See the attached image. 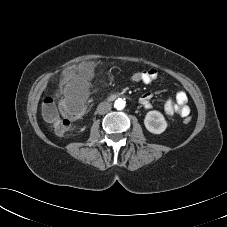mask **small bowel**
Returning a JSON list of instances; mask_svg holds the SVG:
<instances>
[{
    "mask_svg": "<svg viewBox=\"0 0 227 227\" xmlns=\"http://www.w3.org/2000/svg\"><path fill=\"white\" fill-rule=\"evenodd\" d=\"M144 72L143 83L151 84L154 82L159 73L156 69L142 70ZM152 93L147 92L140 97V103L145 109H151ZM164 112L167 116H173L175 114L182 115L184 112L190 113L188 106V96L185 92L180 91L175 95V98H168L164 104Z\"/></svg>",
    "mask_w": 227,
    "mask_h": 227,
    "instance_id": "1",
    "label": "small bowel"
}]
</instances>
